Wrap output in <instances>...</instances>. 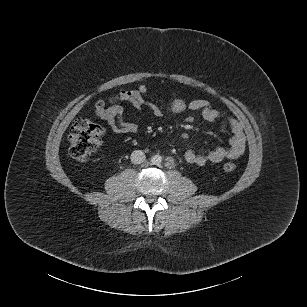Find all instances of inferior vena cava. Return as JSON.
<instances>
[{"mask_svg":"<svg viewBox=\"0 0 307 307\" xmlns=\"http://www.w3.org/2000/svg\"><path fill=\"white\" fill-rule=\"evenodd\" d=\"M145 160V153L142 150H134L131 154V161L134 164H141Z\"/></svg>","mask_w":307,"mask_h":307,"instance_id":"1","label":"inferior vena cava"}]
</instances>
